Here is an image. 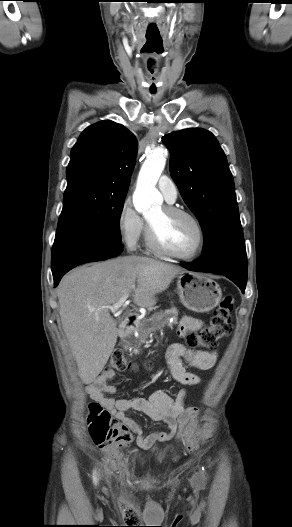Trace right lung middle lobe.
<instances>
[{"instance_id":"right-lung-middle-lobe-1","label":"right lung middle lobe","mask_w":292,"mask_h":527,"mask_svg":"<svg viewBox=\"0 0 292 527\" xmlns=\"http://www.w3.org/2000/svg\"><path fill=\"white\" fill-rule=\"evenodd\" d=\"M126 193L89 185H67L57 231L91 232L121 242L119 220Z\"/></svg>"}]
</instances>
